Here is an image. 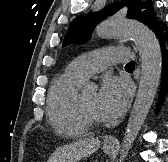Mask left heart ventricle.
Returning <instances> with one entry per match:
<instances>
[{
	"mask_svg": "<svg viewBox=\"0 0 168 162\" xmlns=\"http://www.w3.org/2000/svg\"><path fill=\"white\" fill-rule=\"evenodd\" d=\"M82 99L87 112L96 120H101L97 112V93L95 91H84Z\"/></svg>",
	"mask_w": 168,
	"mask_h": 162,
	"instance_id": "obj_1",
	"label": "left heart ventricle"
}]
</instances>
